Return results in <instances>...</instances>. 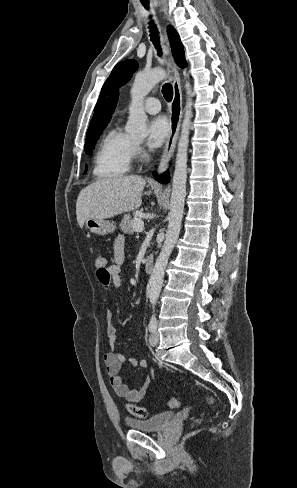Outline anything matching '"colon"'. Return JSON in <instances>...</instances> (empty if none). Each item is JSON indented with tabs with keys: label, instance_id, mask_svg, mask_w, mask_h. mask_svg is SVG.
Instances as JSON below:
<instances>
[{
	"label": "colon",
	"instance_id": "colon-1",
	"mask_svg": "<svg viewBox=\"0 0 297 488\" xmlns=\"http://www.w3.org/2000/svg\"><path fill=\"white\" fill-rule=\"evenodd\" d=\"M95 265H96L97 270L104 271L105 267L107 265V257L104 255L98 256L95 260ZM207 401H208V403L213 404L212 398H208ZM179 405H180V401L178 398H173L169 401V407H171V408H177V407H179ZM127 409L129 410V412L131 414H133L137 418H146V416H147V411L143 407L136 406L133 404H129V405H127Z\"/></svg>",
	"mask_w": 297,
	"mask_h": 488
}]
</instances>
